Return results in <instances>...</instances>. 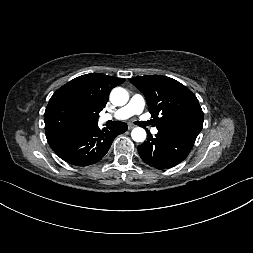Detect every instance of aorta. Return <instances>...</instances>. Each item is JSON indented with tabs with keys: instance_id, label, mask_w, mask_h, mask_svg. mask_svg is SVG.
Wrapping results in <instances>:
<instances>
[{
	"instance_id": "762f6f07",
	"label": "aorta",
	"mask_w": 253,
	"mask_h": 253,
	"mask_svg": "<svg viewBox=\"0 0 253 253\" xmlns=\"http://www.w3.org/2000/svg\"><path fill=\"white\" fill-rule=\"evenodd\" d=\"M110 100L115 106H123L128 102L129 94L124 88L116 87L111 91ZM131 137L136 142H143L146 139V131L141 127L134 128Z\"/></svg>"
}]
</instances>
